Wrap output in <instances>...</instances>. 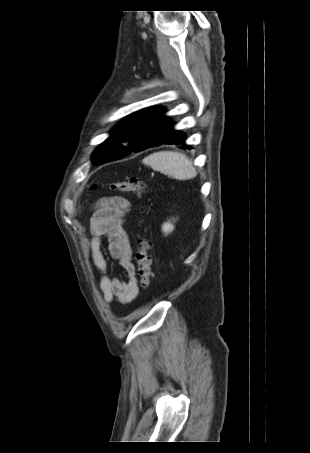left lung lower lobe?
I'll list each match as a JSON object with an SVG mask.
<instances>
[{"label": "left lung lower lobe", "instance_id": "left-lung-lower-lobe-1", "mask_svg": "<svg viewBox=\"0 0 310 453\" xmlns=\"http://www.w3.org/2000/svg\"><path fill=\"white\" fill-rule=\"evenodd\" d=\"M185 139H186L185 135L178 130H174L173 125H172L169 132L165 135V137L163 139L156 141L153 144H150L147 148L160 146L162 144H173V145H182L183 146L182 148L191 149V147L189 145L185 144ZM147 148H145V149H147Z\"/></svg>", "mask_w": 310, "mask_h": 453}]
</instances>
